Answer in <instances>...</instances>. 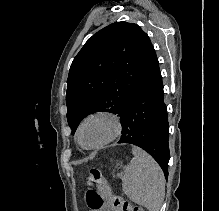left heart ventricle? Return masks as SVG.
I'll use <instances>...</instances> for the list:
<instances>
[{"mask_svg": "<svg viewBox=\"0 0 219 211\" xmlns=\"http://www.w3.org/2000/svg\"><path fill=\"white\" fill-rule=\"evenodd\" d=\"M111 123L105 118H93L85 123L81 131V141L90 147L101 143L109 134Z\"/></svg>", "mask_w": 219, "mask_h": 211, "instance_id": "b2bd125f", "label": "left heart ventricle"}]
</instances>
